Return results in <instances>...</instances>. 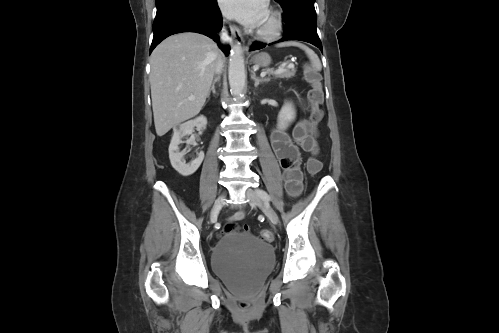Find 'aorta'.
<instances>
[{
	"label": "aorta",
	"mask_w": 499,
	"mask_h": 333,
	"mask_svg": "<svg viewBox=\"0 0 499 333\" xmlns=\"http://www.w3.org/2000/svg\"><path fill=\"white\" fill-rule=\"evenodd\" d=\"M229 85L235 97H241L245 87V66L242 48L235 45L231 49L228 69Z\"/></svg>",
	"instance_id": "1"
}]
</instances>
